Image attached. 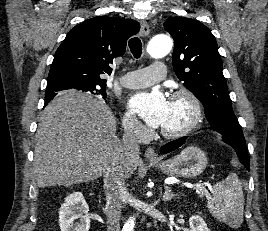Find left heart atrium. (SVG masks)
<instances>
[{"label": "left heart atrium", "instance_id": "39dd6f15", "mask_svg": "<svg viewBox=\"0 0 268 231\" xmlns=\"http://www.w3.org/2000/svg\"><path fill=\"white\" fill-rule=\"evenodd\" d=\"M128 106L147 125L157 128L164 120L168 101L160 90L155 89L134 94L129 99Z\"/></svg>", "mask_w": 268, "mask_h": 231}]
</instances>
